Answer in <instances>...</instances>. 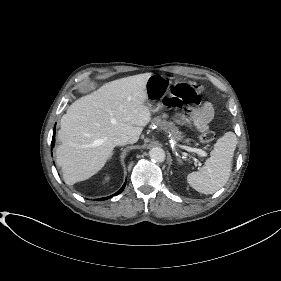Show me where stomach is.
Returning a JSON list of instances; mask_svg holds the SVG:
<instances>
[{"mask_svg":"<svg viewBox=\"0 0 281 281\" xmlns=\"http://www.w3.org/2000/svg\"><path fill=\"white\" fill-rule=\"evenodd\" d=\"M171 81L163 75L151 74L146 82V101L149 109L156 112L161 107V100L166 95Z\"/></svg>","mask_w":281,"mask_h":281,"instance_id":"0dacf381","label":"stomach"}]
</instances>
